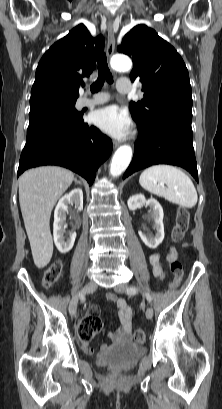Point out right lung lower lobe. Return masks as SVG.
<instances>
[{"label": "right lung lower lobe", "mask_w": 222, "mask_h": 409, "mask_svg": "<svg viewBox=\"0 0 222 409\" xmlns=\"http://www.w3.org/2000/svg\"><path fill=\"white\" fill-rule=\"evenodd\" d=\"M112 141L83 118L49 117L28 128L17 175L41 165H59L92 185L98 167L110 156Z\"/></svg>", "instance_id": "1"}]
</instances>
